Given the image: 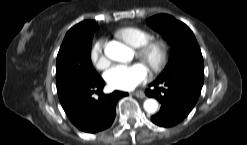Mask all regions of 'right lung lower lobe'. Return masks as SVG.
I'll return each mask as SVG.
<instances>
[{
    "mask_svg": "<svg viewBox=\"0 0 247 145\" xmlns=\"http://www.w3.org/2000/svg\"><path fill=\"white\" fill-rule=\"evenodd\" d=\"M105 82L101 77L92 81L72 83L58 90L61 105L71 122L81 131L96 133L110 127L115 118V107L125 92L114 91L101 94L96 100L93 93L100 94Z\"/></svg>",
    "mask_w": 247,
    "mask_h": 145,
    "instance_id": "1",
    "label": "right lung lower lobe"
}]
</instances>
